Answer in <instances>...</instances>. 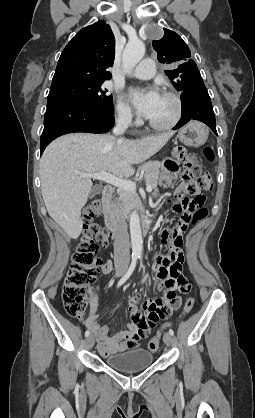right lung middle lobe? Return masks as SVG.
<instances>
[{"mask_svg":"<svg viewBox=\"0 0 255 418\" xmlns=\"http://www.w3.org/2000/svg\"><path fill=\"white\" fill-rule=\"evenodd\" d=\"M103 82L72 81L51 85L48 101L73 100L91 106L96 111L113 115L112 96L103 89Z\"/></svg>","mask_w":255,"mask_h":418,"instance_id":"obj_1","label":"right lung middle lobe"}]
</instances>
